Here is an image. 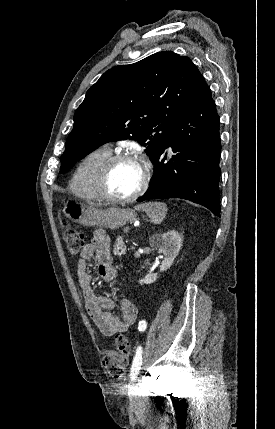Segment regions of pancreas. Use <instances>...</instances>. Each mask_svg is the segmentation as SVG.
<instances>
[{
    "mask_svg": "<svg viewBox=\"0 0 275 429\" xmlns=\"http://www.w3.org/2000/svg\"><path fill=\"white\" fill-rule=\"evenodd\" d=\"M113 253L114 255L118 256L124 255L126 253V247L121 236L116 239V242L113 246Z\"/></svg>",
    "mask_w": 275,
    "mask_h": 429,
    "instance_id": "pancreas-1",
    "label": "pancreas"
}]
</instances>
